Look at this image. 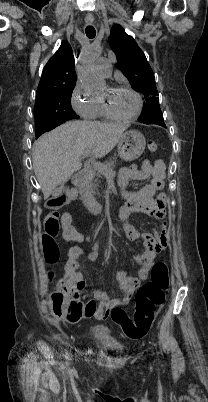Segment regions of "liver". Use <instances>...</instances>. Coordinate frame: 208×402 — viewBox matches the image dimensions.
<instances>
[{
	"mask_svg": "<svg viewBox=\"0 0 208 402\" xmlns=\"http://www.w3.org/2000/svg\"><path fill=\"white\" fill-rule=\"evenodd\" d=\"M128 124L67 122L43 134L33 146V168L44 200L80 170V156L91 150L94 158L109 154L127 130Z\"/></svg>",
	"mask_w": 208,
	"mask_h": 402,
	"instance_id": "liver-1",
	"label": "liver"
}]
</instances>
